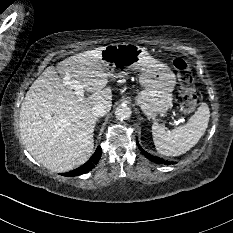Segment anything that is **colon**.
<instances>
[{
	"label": "colon",
	"instance_id": "5ec220e1",
	"mask_svg": "<svg viewBox=\"0 0 233 233\" xmlns=\"http://www.w3.org/2000/svg\"><path fill=\"white\" fill-rule=\"evenodd\" d=\"M172 65L178 78L177 102L183 111L192 112L198 105V98L194 93V79L191 69L182 58H174Z\"/></svg>",
	"mask_w": 233,
	"mask_h": 233
}]
</instances>
